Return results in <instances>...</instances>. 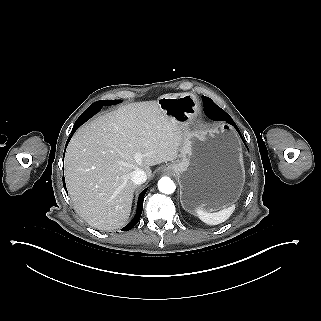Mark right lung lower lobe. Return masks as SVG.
Returning a JSON list of instances; mask_svg holds the SVG:
<instances>
[{"label":"right lung lower lobe","mask_w":321,"mask_h":321,"mask_svg":"<svg viewBox=\"0 0 321 321\" xmlns=\"http://www.w3.org/2000/svg\"><path fill=\"white\" fill-rule=\"evenodd\" d=\"M120 101H116V102H113V103H107L105 101H97L95 103H93L89 108H87L80 116L79 118L77 119V121L75 122L74 124V127L72 129V132L71 134H73L83 123H85L88 119H90L94 114H96L97 112L100 111V109L103 107V106H108V105H112V104H117L119 103ZM71 137H69L68 139V142L70 140ZM65 187V186H64ZM66 189V187H65ZM147 191V188L144 189L140 195H139V199H138V205H137V211H136V215L135 217L132 219V221L126 225L122 231H128L130 229H132L136 224L137 222L139 221L140 219V216H141V213H142V209H143V200H144V195Z\"/></svg>","instance_id":"obj_1"}]
</instances>
